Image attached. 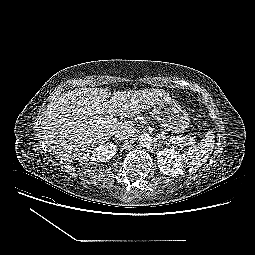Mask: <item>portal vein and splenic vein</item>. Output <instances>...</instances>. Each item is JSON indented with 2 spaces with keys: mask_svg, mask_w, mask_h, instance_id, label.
Returning a JSON list of instances; mask_svg holds the SVG:
<instances>
[{
  "mask_svg": "<svg viewBox=\"0 0 255 255\" xmlns=\"http://www.w3.org/2000/svg\"><path fill=\"white\" fill-rule=\"evenodd\" d=\"M96 122L98 124H106V123H109V124H114V123H117L118 120L117 118H113V117H107V118H101V117H98L96 119ZM163 139H166L165 136H163ZM169 141H171L173 144H176L177 140L176 139H169Z\"/></svg>",
  "mask_w": 255,
  "mask_h": 255,
  "instance_id": "portal-vein-and-splenic-vein-1",
  "label": "portal vein and splenic vein"
}]
</instances>
